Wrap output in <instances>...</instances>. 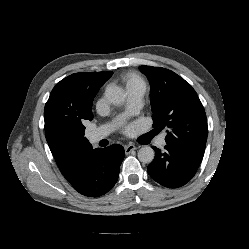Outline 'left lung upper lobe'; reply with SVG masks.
<instances>
[{"instance_id":"1","label":"left lung upper lobe","mask_w":249,"mask_h":249,"mask_svg":"<svg viewBox=\"0 0 249 249\" xmlns=\"http://www.w3.org/2000/svg\"><path fill=\"white\" fill-rule=\"evenodd\" d=\"M150 82L153 127H167V144L203 157L207 140L204 107L192 86L171 70L140 66Z\"/></svg>"}]
</instances>
